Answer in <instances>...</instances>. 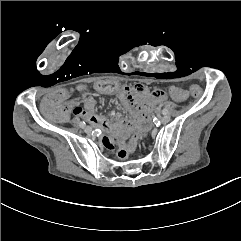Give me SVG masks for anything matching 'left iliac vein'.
<instances>
[{
	"instance_id": "left-iliac-vein-1",
	"label": "left iliac vein",
	"mask_w": 241,
	"mask_h": 241,
	"mask_svg": "<svg viewBox=\"0 0 241 241\" xmlns=\"http://www.w3.org/2000/svg\"><path fill=\"white\" fill-rule=\"evenodd\" d=\"M161 123L166 124L170 121V116L169 115H164L163 117L160 118Z\"/></svg>"
}]
</instances>
